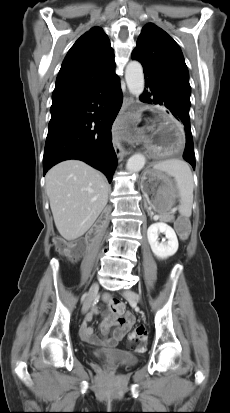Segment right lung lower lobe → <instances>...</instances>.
Here are the masks:
<instances>
[{
  "mask_svg": "<svg viewBox=\"0 0 230 413\" xmlns=\"http://www.w3.org/2000/svg\"><path fill=\"white\" fill-rule=\"evenodd\" d=\"M119 77L89 90L53 99L43 156V174L55 164L78 159L112 180L117 156L112 145V124L122 105Z\"/></svg>",
  "mask_w": 230,
  "mask_h": 413,
  "instance_id": "1",
  "label": "right lung lower lobe"
}]
</instances>
